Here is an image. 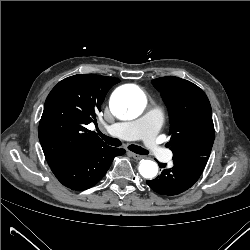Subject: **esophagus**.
I'll list each match as a JSON object with an SVG mask.
<instances>
[{
    "mask_svg": "<svg viewBox=\"0 0 250 250\" xmlns=\"http://www.w3.org/2000/svg\"><path fill=\"white\" fill-rule=\"evenodd\" d=\"M129 154L136 160H141L143 159L144 157L142 155H139V154H136V153H133V152H129Z\"/></svg>",
    "mask_w": 250,
    "mask_h": 250,
    "instance_id": "esophagus-1",
    "label": "esophagus"
}]
</instances>
